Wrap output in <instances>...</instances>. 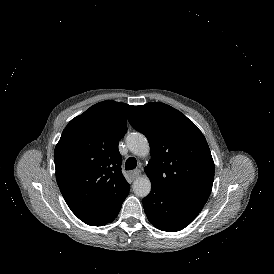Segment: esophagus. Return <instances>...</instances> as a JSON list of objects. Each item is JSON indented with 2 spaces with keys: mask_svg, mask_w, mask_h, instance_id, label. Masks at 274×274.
<instances>
[{
  "mask_svg": "<svg viewBox=\"0 0 274 274\" xmlns=\"http://www.w3.org/2000/svg\"><path fill=\"white\" fill-rule=\"evenodd\" d=\"M140 174H141L140 170L136 169V170L129 172V177L134 180V179L138 178L140 176Z\"/></svg>",
  "mask_w": 274,
  "mask_h": 274,
  "instance_id": "obj_1",
  "label": "esophagus"
}]
</instances>
